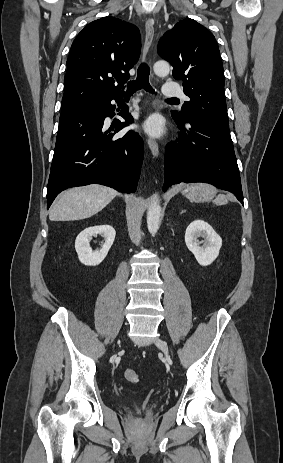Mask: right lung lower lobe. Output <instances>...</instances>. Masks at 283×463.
Listing matches in <instances>:
<instances>
[{
    "label": "right lung lower lobe",
    "instance_id": "obj_1",
    "mask_svg": "<svg viewBox=\"0 0 283 463\" xmlns=\"http://www.w3.org/2000/svg\"><path fill=\"white\" fill-rule=\"evenodd\" d=\"M123 94L92 100L61 115L47 186V208L55 197L69 187L92 183L135 192L143 161V141L132 130L118 133L133 123L124 106L120 115L126 122L112 123L115 106Z\"/></svg>",
    "mask_w": 283,
    "mask_h": 463
}]
</instances>
